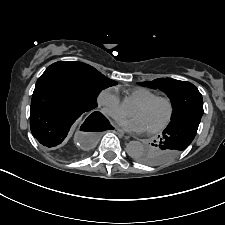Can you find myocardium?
I'll use <instances>...</instances> for the list:
<instances>
[{"label": "myocardium", "mask_w": 225, "mask_h": 225, "mask_svg": "<svg viewBox=\"0 0 225 225\" xmlns=\"http://www.w3.org/2000/svg\"><path fill=\"white\" fill-rule=\"evenodd\" d=\"M157 101H163V102H165L167 104V106H168V115H167L165 121L162 124H160L157 127H154V128H151V129H147V132H149L151 134L163 131L171 123V121L173 119V116H174V104H173V101L167 96L156 95V96H154V97H152L150 99H147L145 101L136 103V105H138L140 107H148V106L152 105L153 103H155Z\"/></svg>", "instance_id": "obj_1"}]
</instances>
